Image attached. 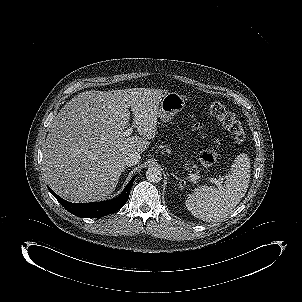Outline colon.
<instances>
[{"instance_id": "obj_1", "label": "colon", "mask_w": 302, "mask_h": 302, "mask_svg": "<svg viewBox=\"0 0 302 302\" xmlns=\"http://www.w3.org/2000/svg\"><path fill=\"white\" fill-rule=\"evenodd\" d=\"M210 113L216 117L233 135L238 143L245 140V131L235 115L229 112L225 105L219 101L210 104ZM217 159V152L214 149H205L200 154V162L204 168L212 166Z\"/></svg>"}]
</instances>
